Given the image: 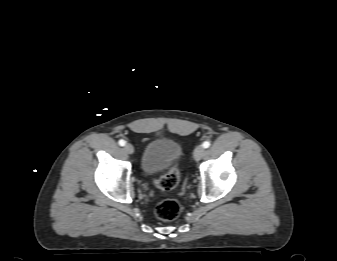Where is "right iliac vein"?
I'll list each match as a JSON object with an SVG mask.
<instances>
[{"label":"right iliac vein","mask_w":337,"mask_h":261,"mask_svg":"<svg viewBox=\"0 0 337 261\" xmlns=\"http://www.w3.org/2000/svg\"><path fill=\"white\" fill-rule=\"evenodd\" d=\"M124 151H125L126 153H128V154H133V152H134V147H133L131 144L127 143V144L124 146Z\"/></svg>","instance_id":"right-iliac-vein-1"}]
</instances>
